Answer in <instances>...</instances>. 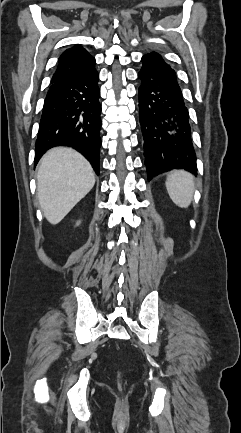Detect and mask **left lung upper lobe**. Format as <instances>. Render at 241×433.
<instances>
[{"instance_id": "obj_1", "label": "left lung upper lobe", "mask_w": 241, "mask_h": 433, "mask_svg": "<svg viewBox=\"0 0 241 433\" xmlns=\"http://www.w3.org/2000/svg\"><path fill=\"white\" fill-rule=\"evenodd\" d=\"M141 61L143 62L142 68L145 67H160V68H166L170 72H172L175 76V71L168 65L161 55H159L156 52H151L149 54H146L142 57Z\"/></svg>"}]
</instances>
